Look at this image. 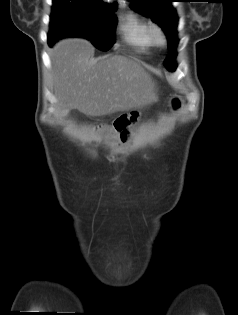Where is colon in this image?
I'll return each instance as SVG.
<instances>
[{"label":"colon","instance_id":"colon-1","mask_svg":"<svg viewBox=\"0 0 238 315\" xmlns=\"http://www.w3.org/2000/svg\"><path fill=\"white\" fill-rule=\"evenodd\" d=\"M139 116L138 112L123 114L111 124L100 126V129L108 131L114 141L123 142L129 138L131 128L136 124Z\"/></svg>","mask_w":238,"mask_h":315}]
</instances>
